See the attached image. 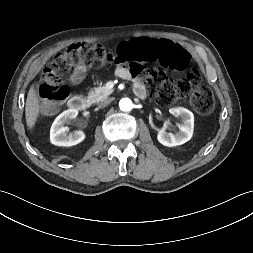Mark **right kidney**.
Listing matches in <instances>:
<instances>
[{
  "mask_svg": "<svg viewBox=\"0 0 253 253\" xmlns=\"http://www.w3.org/2000/svg\"><path fill=\"white\" fill-rule=\"evenodd\" d=\"M78 110L68 109L62 112L53 122L50 129V141L56 146L70 147L77 145L85 139V134L82 131H75L67 134L68 128L65 123L76 118Z\"/></svg>",
  "mask_w": 253,
  "mask_h": 253,
  "instance_id": "obj_1",
  "label": "right kidney"
}]
</instances>
